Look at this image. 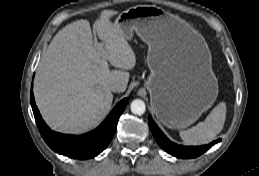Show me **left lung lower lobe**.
<instances>
[{"instance_id":"0a47b994","label":"left lung lower lobe","mask_w":259,"mask_h":176,"mask_svg":"<svg viewBox=\"0 0 259 176\" xmlns=\"http://www.w3.org/2000/svg\"><path fill=\"white\" fill-rule=\"evenodd\" d=\"M150 130L158 142V144L169 154L176 156L178 158H194L197 157L208 149H210L214 144L221 141V139L215 140L208 145L204 146H181L171 142L164 133L157 127L151 116L148 117Z\"/></svg>"}]
</instances>
